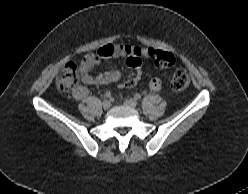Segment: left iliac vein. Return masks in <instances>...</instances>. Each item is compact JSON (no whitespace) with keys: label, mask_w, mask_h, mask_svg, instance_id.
I'll use <instances>...</instances> for the list:
<instances>
[{"label":"left iliac vein","mask_w":248,"mask_h":194,"mask_svg":"<svg viewBox=\"0 0 248 194\" xmlns=\"http://www.w3.org/2000/svg\"><path fill=\"white\" fill-rule=\"evenodd\" d=\"M124 104L129 106V107L135 108L137 106V101L135 99L130 98V99H126L124 101Z\"/></svg>","instance_id":"4c4485c4"}]
</instances>
